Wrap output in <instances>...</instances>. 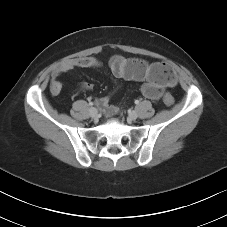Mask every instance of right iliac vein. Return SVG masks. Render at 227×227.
Returning <instances> with one entry per match:
<instances>
[{
    "instance_id": "right-iliac-vein-1",
    "label": "right iliac vein",
    "mask_w": 227,
    "mask_h": 227,
    "mask_svg": "<svg viewBox=\"0 0 227 227\" xmlns=\"http://www.w3.org/2000/svg\"><path fill=\"white\" fill-rule=\"evenodd\" d=\"M90 116L92 117V118H97V116H98V111H97V109L96 108H90Z\"/></svg>"
}]
</instances>
